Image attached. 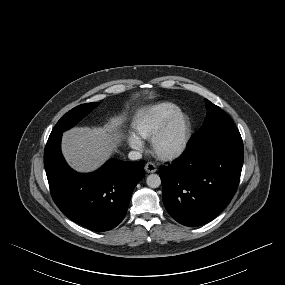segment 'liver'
Masks as SVG:
<instances>
[{"label": "liver", "mask_w": 285, "mask_h": 285, "mask_svg": "<svg viewBox=\"0 0 285 285\" xmlns=\"http://www.w3.org/2000/svg\"><path fill=\"white\" fill-rule=\"evenodd\" d=\"M122 116H115L103 127H75L66 131L62 152L69 165L78 172L99 168L117 150Z\"/></svg>", "instance_id": "liver-1"}]
</instances>
